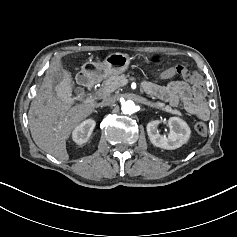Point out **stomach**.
<instances>
[{
	"label": "stomach",
	"mask_w": 237,
	"mask_h": 237,
	"mask_svg": "<svg viewBox=\"0 0 237 237\" xmlns=\"http://www.w3.org/2000/svg\"><path fill=\"white\" fill-rule=\"evenodd\" d=\"M130 57L123 53L109 54L102 63H94L98 71V78L104 79L111 75L123 73L129 66Z\"/></svg>",
	"instance_id": "0dacf381"
}]
</instances>
